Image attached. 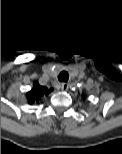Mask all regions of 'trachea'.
Instances as JSON below:
<instances>
[{
  "label": "trachea",
  "instance_id": "trachea-1",
  "mask_svg": "<svg viewBox=\"0 0 122 154\" xmlns=\"http://www.w3.org/2000/svg\"><path fill=\"white\" fill-rule=\"evenodd\" d=\"M69 78V75L66 71H62L60 72L59 76H58V80L61 82H66Z\"/></svg>",
  "mask_w": 122,
  "mask_h": 154
}]
</instances>
